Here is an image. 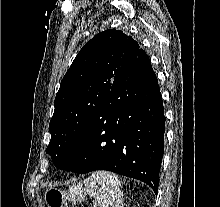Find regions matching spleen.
<instances>
[{
	"mask_svg": "<svg viewBox=\"0 0 220 207\" xmlns=\"http://www.w3.org/2000/svg\"><path fill=\"white\" fill-rule=\"evenodd\" d=\"M87 193L98 207H123L121 181L116 174L98 171L84 180Z\"/></svg>",
	"mask_w": 220,
	"mask_h": 207,
	"instance_id": "obj_1",
	"label": "spleen"
}]
</instances>
